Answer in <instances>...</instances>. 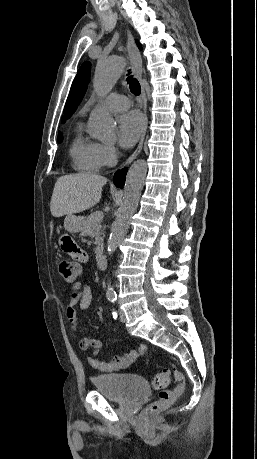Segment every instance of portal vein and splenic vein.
Masks as SVG:
<instances>
[{
	"label": "portal vein and splenic vein",
	"instance_id": "portal-vein-and-splenic-vein-1",
	"mask_svg": "<svg viewBox=\"0 0 257 459\" xmlns=\"http://www.w3.org/2000/svg\"><path fill=\"white\" fill-rule=\"evenodd\" d=\"M103 212L101 211H97L96 214H95V219L98 221V222H101L103 220Z\"/></svg>",
	"mask_w": 257,
	"mask_h": 459
}]
</instances>
